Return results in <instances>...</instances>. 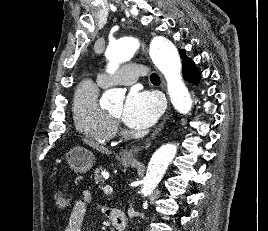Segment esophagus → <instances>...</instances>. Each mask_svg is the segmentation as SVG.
<instances>
[{"mask_svg": "<svg viewBox=\"0 0 268 231\" xmlns=\"http://www.w3.org/2000/svg\"><path fill=\"white\" fill-rule=\"evenodd\" d=\"M142 50L143 53L147 56L148 55V49L146 44H142ZM170 117V106L168 107L167 114L163 118L162 122L159 124V126L155 129V131L151 134L149 138H147L141 145L134 146L130 150H126L122 154V159L126 161H135L136 156L144 149H147L152 141L160 135L161 131L164 129L165 125L167 124Z\"/></svg>", "mask_w": 268, "mask_h": 231, "instance_id": "34e87169", "label": "esophagus"}]
</instances>
